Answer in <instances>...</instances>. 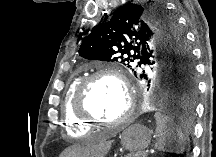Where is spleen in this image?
<instances>
[{
    "label": "spleen",
    "mask_w": 216,
    "mask_h": 157,
    "mask_svg": "<svg viewBox=\"0 0 216 157\" xmlns=\"http://www.w3.org/2000/svg\"><path fill=\"white\" fill-rule=\"evenodd\" d=\"M156 118V142L155 148L162 152L181 154L184 152L186 136L177 127L175 121L161 113L155 114Z\"/></svg>",
    "instance_id": "spleen-1"
}]
</instances>
